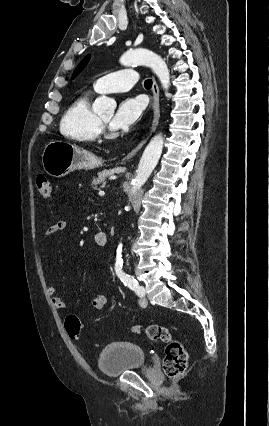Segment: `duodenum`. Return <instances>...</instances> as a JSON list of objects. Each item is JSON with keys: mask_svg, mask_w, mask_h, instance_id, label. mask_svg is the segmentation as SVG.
Instances as JSON below:
<instances>
[{"mask_svg": "<svg viewBox=\"0 0 269 426\" xmlns=\"http://www.w3.org/2000/svg\"><path fill=\"white\" fill-rule=\"evenodd\" d=\"M95 241L99 246H105L108 243V234L104 231L98 232Z\"/></svg>", "mask_w": 269, "mask_h": 426, "instance_id": "duodenum-1", "label": "duodenum"}]
</instances>
